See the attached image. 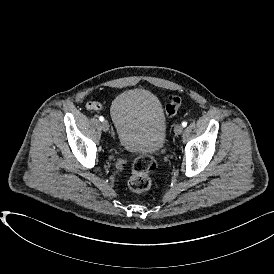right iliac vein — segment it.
Masks as SVG:
<instances>
[{"label":"right iliac vein","mask_w":274,"mask_h":274,"mask_svg":"<svg viewBox=\"0 0 274 274\" xmlns=\"http://www.w3.org/2000/svg\"><path fill=\"white\" fill-rule=\"evenodd\" d=\"M101 127H102V130L107 132L110 128V125H109V122L107 120H104L102 123H101Z\"/></svg>","instance_id":"right-iliac-vein-1"}]
</instances>
